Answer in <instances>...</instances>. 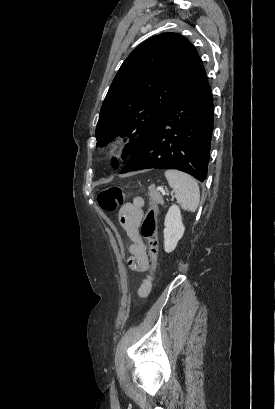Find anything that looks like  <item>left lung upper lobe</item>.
<instances>
[{"label": "left lung upper lobe", "mask_w": 275, "mask_h": 409, "mask_svg": "<svg viewBox=\"0 0 275 409\" xmlns=\"http://www.w3.org/2000/svg\"><path fill=\"white\" fill-rule=\"evenodd\" d=\"M206 77L195 47L183 36L162 33L141 43L123 62L105 97L96 147L118 134L129 135L131 142L122 155L126 160L165 112ZM113 166H119L116 159Z\"/></svg>", "instance_id": "5c2ea615"}]
</instances>
